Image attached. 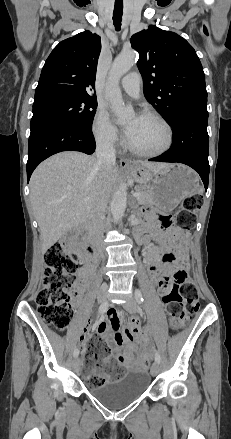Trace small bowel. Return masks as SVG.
I'll list each match as a JSON object with an SVG mask.
<instances>
[{"label":"small bowel","mask_w":231,"mask_h":439,"mask_svg":"<svg viewBox=\"0 0 231 439\" xmlns=\"http://www.w3.org/2000/svg\"><path fill=\"white\" fill-rule=\"evenodd\" d=\"M153 220L159 218L151 215ZM152 234L156 238V242L149 243L146 248V259L150 264V272L155 285L158 287V291L163 294L169 287V275L173 271V266L170 263H163V260L167 261V257L171 256V244H165L166 234L153 233V230L147 228L143 232L138 233V237L143 239L146 235ZM170 237L180 242L182 245L181 255L184 253V238L179 234L177 230H172ZM81 287H78L79 292ZM78 294V293H77ZM78 296V295H77ZM109 324L101 322L98 325V331L100 335L111 345L112 357L119 360L126 368L134 369L140 366L139 363L134 361L135 355L139 353V347L143 350H147L148 338L145 335H138L137 331L133 330V327L138 326V319L135 318L130 325V328L122 329L119 324L118 313L115 309L109 311ZM126 345V347H124ZM85 349V344H84ZM109 360H106V364ZM97 374H104L103 369L95 370ZM105 375V374H104Z\"/></svg>","instance_id":"obj_1"}]
</instances>
